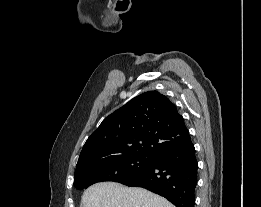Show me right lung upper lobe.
Here are the masks:
<instances>
[{"mask_svg": "<svg viewBox=\"0 0 261 207\" xmlns=\"http://www.w3.org/2000/svg\"><path fill=\"white\" fill-rule=\"evenodd\" d=\"M190 140L175 105L157 91L145 92L107 116L89 136L77 168L126 155L153 157Z\"/></svg>", "mask_w": 261, "mask_h": 207, "instance_id": "1", "label": "right lung upper lobe"}]
</instances>
